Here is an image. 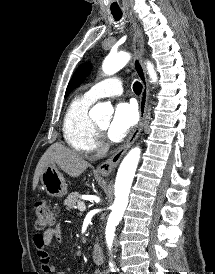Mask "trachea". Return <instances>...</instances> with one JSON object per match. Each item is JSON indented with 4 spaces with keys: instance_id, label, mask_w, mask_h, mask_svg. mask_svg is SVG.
<instances>
[{
    "instance_id": "1",
    "label": "trachea",
    "mask_w": 215,
    "mask_h": 274,
    "mask_svg": "<svg viewBox=\"0 0 215 274\" xmlns=\"http://www.w3.org/2000/svg\"><path fill=\"white\" fill-rule=\"evenodd\" d=\"M115 21H119L122 17V14L121 13H112ZM142 84L138 81H136L134 84H133V90L134 92L139 95L141 92H142Z\"/></svg>"
}]
</instances>
